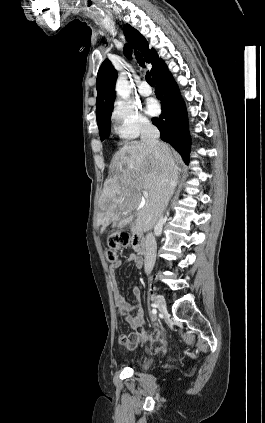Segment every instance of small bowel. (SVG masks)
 I'll return each instance as SVG.
<instances>
[{"mask_svg":"<svg viewBox=\"0 0 265 423\" xmlns=\"http://www.w3.org/2000/svg\"><path fill=\"white\" fill-rule=\"evenodd\" d=\"M127 262H132L137 268H141L143 262L140 257L135 254H131ZM124 261L119 259L109 266V274L112 278V294L114 303L118 309V317L120 320L127 322L132 332L128 335H123L119 338V343L128 350L136 348L138 343L143 340L151 344L150 351L158 353L165 350L168 346L166 336L162 330H157L154 333H148L144 327L146 325V319L144 316V310L140 302V288L134 286L132 293L136 299L135 304H131L128 300L120 293L117 282L115 280L116 270L123 265Z\"/></svg>","mask_w":265,"mask_h":423,"instance_id":"c3829d8e","label":"small bowel"}]
</instances>
